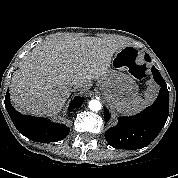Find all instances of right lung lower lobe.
<instances>
[{
	"label": "right lung lower lobe",
	"mask_w": 178,
	"mask_h": 178,
	"mask_svg": "<svg viewBox=\"0 0 178 178\" xmlns=\"http://www.w3.org/2000/svg\"><path fill=\"white\" fill-rule=\"evenodd\" d=\"M9 98V91L7 90L5 96L6 110L17 130L28 139L35 142H56L68 135L70 129L63 124L53 123L46 118L20 114L12 107ZM83 101V97H76L68 110L72 111L73 108L80 107Z\"/></svg>",
	"instance_id": "1"
}]
</instances>
